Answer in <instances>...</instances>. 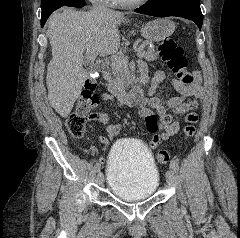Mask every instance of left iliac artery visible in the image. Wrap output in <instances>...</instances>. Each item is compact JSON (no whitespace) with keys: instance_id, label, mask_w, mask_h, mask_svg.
Listing matches in <instances>:
<instances>
[{"instance_id":"1","label":"left iliac artery","mask_w":240,"mask_h":238,"mask_svg":"<svg viewBox=\"0 0 240 238\" xmlns=\"http://www.w3.org/2000/svg\"><path fill=\"white\" fill-rule=\"evenodd\" d=\"M170 167L175 171V172H178L179 170V166H178V163L176 160H171L170 162Z\"/></svg>"}]
</instances>
